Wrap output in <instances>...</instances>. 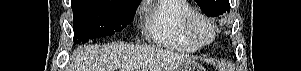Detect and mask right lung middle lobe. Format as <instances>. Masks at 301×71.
<instances>
[{
    "label": "right lung middle lobe",
    "mask_w": 301,
    "mask_h": 71,
    "mask_svg": "<svg viewBox=\"0 0 301 71\" xmlns=\"http://www.w3.org/2000/svg\"><path fill=\"white\" fill-rule=\"evenodd\" d=\"M140 0H72L74 42L113 35L129 24Z\"/></svg>",
    "instance_id": "1"
}]
</instances>
